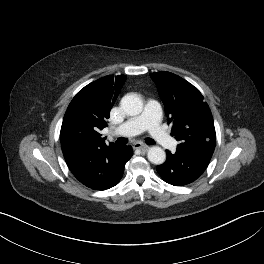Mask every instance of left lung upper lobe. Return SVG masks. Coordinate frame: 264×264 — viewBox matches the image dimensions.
<instances>
[{"label": "left lung upper lobe", "instance_id": "left-lung-upper-lobe-1", "mask_svg": "<svg viewBox=\"0 0 264 264\" xmlns=\"http://www.w3.org/2000/svg\"><path fill=\"white\" fill-rule=\"evenodd\" d=\"M165 107L172 135L181 154L210 159L215 149L213 117L202 94L183 78L167 72L151 73Z\"/></svg>", "mask_w": 264, "mask_h": 264}]
</instances>
